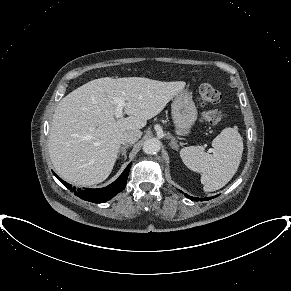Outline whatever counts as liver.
Here are the masks:
<instances>
[{"label": "liver", "instance_id": "1", "mask_svg": "<svg viewBox=\"0 0 291 291\" xmlns=\"http://www.w3.org/2000/svg\"><path fill=\"white\" fill-rule=\"evenodd\" d=\"M185 85L104 77L69 93L58 103L49 132L48 150L57 174L80 186L104 181L116 162L121 135L145 127ZM113 97L125 99L128 117L115 119Z\"/></svg>", "mask_w": 291, "mask_h": 291}]
</instances>
